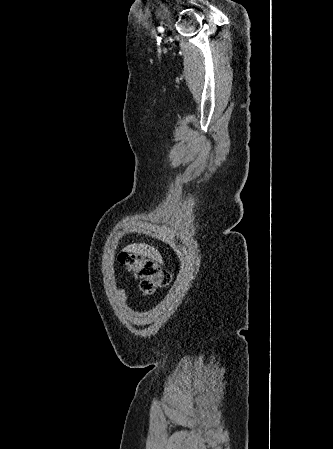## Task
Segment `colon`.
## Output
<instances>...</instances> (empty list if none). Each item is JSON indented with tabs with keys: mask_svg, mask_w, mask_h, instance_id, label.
I'll use <instances>...</instances> for the list:
<instances>
[{
	"mask_svg": "<svg viewBox=\"0 0 333 449\" xmlns=\"http://www.w3.org/2000/svg\"><path fill=\"white\" fill-rule=\"evenodd\" d=\"M118 260L140 280V288L144 293H153L171 282V274L162 270L153 259L131 251H123L119 254Z\"/></svg>",
	"mask_w": 333,
	"mask_h": 449,
	"instance_id": "5ec220e1",
	"label": "colon"
}]
</instances>
